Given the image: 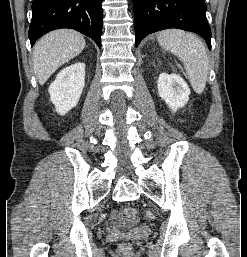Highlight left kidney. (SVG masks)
Listing matches in <instances>:
<instances>
[{
	"label": "left kidney",
	"instance_id": "5707ae66",
	"mask_svg": "<svg viewBox=\"0 0 247 257\" xmlns=\"http://www.w3.org/2000/svg\"><path fill=\"white\" fill-rule=\"evenodd\" d=\"M157 87L159 96L173 112L183 107L189 100L190 89L179 75L160 74Z\"/></svg>",
	"mask_w": 247,
	"mask_h": 257
}]
</instances>
